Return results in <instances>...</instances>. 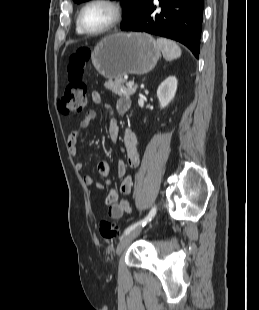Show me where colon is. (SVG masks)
<instances>
[{
  "label": "colon",
  "instance_id": "obj_1",
  "mask_svg": "<svg viewBox=\"0 0 259 310\" xmlns=\"http://www.w3.org/2000/svg\"><path fill=\"white\" fill-rule=\"evenodd\" d=\"M90 50L79 48L72 53L68 60V83L59 101L61 111L65 113H82L87 104V86L83 81L84 73L88 67ZM99 233L103 239H114L118 236V227L110 221L99 223Z\"/></svg>",
  "mask_w": 259,
  "mask_h": 310
}]
</instances>
